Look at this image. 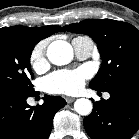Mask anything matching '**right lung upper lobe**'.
Instances as JSON below:
<instances>
[{
    "mask_svg": "<svg viewBox=\"0 0 139 139\" xmlns=\"http://www.w3.org/2000/svg\"><path fill=\"white\" fill-rule=\"evenodd\" d=\"M65 30L60 26L50 25L44 27H24V26H12V27H3L0 29V32H12L18 33L25 36H30L38 41L49 37L50 35L56 32H64Z\"/></svg>",
    "mask_w": 139,
    "mask_h": 139,
    "instance_id": "1",
    "label": "right lung upper lobe"
}]
</instances>
